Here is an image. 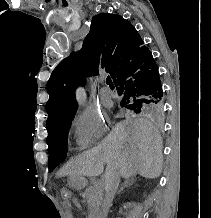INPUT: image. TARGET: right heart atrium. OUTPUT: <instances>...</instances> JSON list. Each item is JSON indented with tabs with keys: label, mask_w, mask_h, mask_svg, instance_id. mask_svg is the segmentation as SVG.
Returning <instances> with one entry per match:
<instances>
[{
	"label": "right heart atrium",
	"mask_w": 211,
	"mask_h": 218,
	"mask_svg": "<svg viewBox=\"0 0 211 218\" xmlns=\"http://www.w3.org/2000/svg\"><path fill=\"white\" fill-rule=\"evenodd\" d=\"M72 127L78 144L87 147L104 134L106 123L103 114L99 110L87 107L72 119Z\"/></svg>",
	"instance_id": "obj_1"
}]
</instances>
